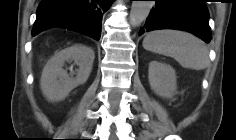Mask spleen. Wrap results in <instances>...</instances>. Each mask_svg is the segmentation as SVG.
<instances>
[{
	"label": "spleen",
	"instance_id": "3e777b00",
	"mask_svg": "<svg viewBox=\"0 0 236 140\" xmlns=\"http://www.w3.org/2000/svg\"><path fill=\"white\" fill-rule=\"evenodd\" d=\"M143 47L148 51L172 57L187 69H205L210 63L204 42L183 31H152L144 38Z\"/></svg>",
	"mask_w": 236,
	"mask_h": 140
}]
</instances>
